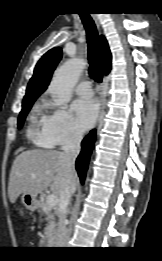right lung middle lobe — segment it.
Wrapping results in <instances>:
<instances>
[{"label":"right lung middle lobe","instance_id":"dd1d6c3e","mask_svg":"<svg viewBox=\"0 0 162 261\" xmlns=\"http://www.w3.org/2000/svg\"><path fill=\"white\" fill-rule=\"evenodd\" d=\"M36 99H31V100H27V101H23L22 103V111L19 114V119H18V128H21L24 124V120L26 118V115L28 114V112L30 111L34 101Z\"/></svg>","mask_w":162,"mask_h":261}]
</instances>
